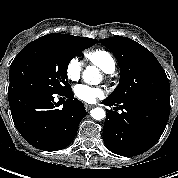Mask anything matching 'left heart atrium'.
<instances>
[{
  "instance_id": "left-heart-atrium-1",
  "label": "left heart atrium",
  "mask_w": 178,
  "mask_h": 178,
  "mask_svg": "<svg viewBox=\"0 0 178 178\" xmlns=\"http://www.w3.org/2000/svg\"><path fill=\"white\" fill-rule=\"evenodd\" d=\"M74 94L81 101L93 103L104 96V90L100 87L78 84L74 88Z\"/></svg>"
}]
</instances>
